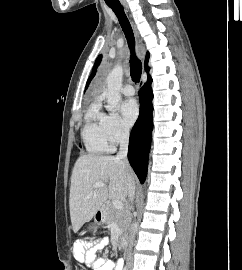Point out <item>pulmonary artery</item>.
I'll list each match as a JSON object with an SVG mask.
<instances>
[{"mask_svg":"<svg viewBox=\"0 0 242 270\" xmlns=\"http://www.w3.org/2000/svg\"><path fill=\"white\" fill-rule=\"evenodd\" d=\"M122 93L125 96H133L135 94V89L132 85L128 84L122 88Z\"/></svg>","mask_w":242,"mask_h":270,"instance_id":"e3ab8cb5","label":"pulmonary artery"}]
</instances>
